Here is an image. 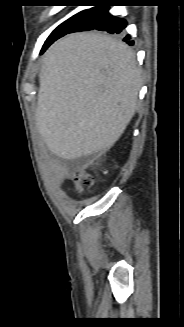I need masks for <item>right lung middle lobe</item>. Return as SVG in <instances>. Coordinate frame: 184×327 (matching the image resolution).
<instances>
[{"mask_svg": "<svg viewBox=\"0 0 184 327\" xmlns=\"http://www.w3.org/2000/svg\"><path fill=\"white\" fill-rule=\"evenodd\" d=\"M86 12L87 10H83L75 14L74 16L60 24L55 30H53V32L45 41L40 53L42 54L54 41L66 35L77 23L80 22Z\"/></svg>", "mask_w": 184, "mask_h": 327, "instance_id": "right-lung-middle-lobe-1", "label": "right lung middle lobe"}]
</instances>
